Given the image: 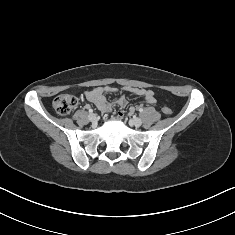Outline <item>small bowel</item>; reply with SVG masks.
<instances>
[{
  "instance_id": "small-bowel-1",
  "label": "small bowel",
  "mask_w": 235,
  "mask_h": 235,
  "mask_svg": "<svg viewBox=\"0 0 235 235\" xmlns=\"http://www.w3.org/2000/svg\"><path fill=\"white\" fill-rule=\"evenodd\" d=\"M128 91L132 92L133 94L143 97L144 100L148 104H154L156 102V98L154 96V93L152 90L149 89H143V88H127ZM113 89L109 87H97L92 90L85 92V98L94 103L95 106L101 111V112H109L111 109L110 103L106 99V93L112 92ZM117 104L120 107H125L127 105V99L125 96H120L117 99ZM134 109H131L130 111L133 112ZM122 114H120L121 116Z\"/></svg>"
}]
</instances>
